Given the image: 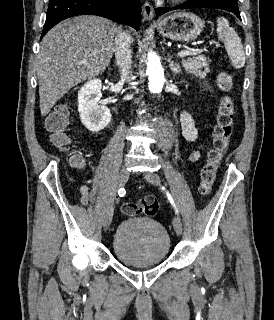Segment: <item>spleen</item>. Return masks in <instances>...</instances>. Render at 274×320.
<instances>
[{
    "mask_svg": "<svg viewBox=\"0 0 274 320\" xmlns=\"http://www.w3.org/2000/svg\"><path fill=\"white\" fill-rule=\"evenodd\" d=\"M217 34L219 40L223 42L227 50L232 66H234L236 70L243 68V66H245V54L242 42L239 36H237L234 28H230L229 22L226 18H218Z\"/></svg>",
    "mask_w": 274,
    "mask_h": 320,
    "instance_id": "spleen-1",
    "label": "spleen"
}]
</instances>
